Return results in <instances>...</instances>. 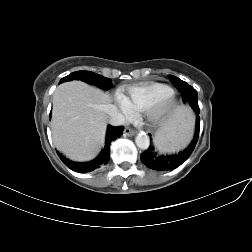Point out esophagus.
<instances>
[{"label": "esophagus", "mask_w": 252, "mask_h": 252, "mask_svg": "<svg viewBox=\"0 0 252 252\" xmlns=\"http://www.w3.org/2000/svg\"><path fill=\"white\" fill-rule=\"evenodd\" d=\"M124 134L127 136H134L135 132L132 131L130 128H125L124 129Z\"/></svg>", "instance_id": "1"}]
</instances>
